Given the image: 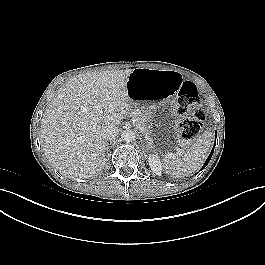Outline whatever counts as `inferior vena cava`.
I'll return each instance as SVG.
<instances>
[{
    "label": "inferior vena cava",
    "mask_w": 265,
    "mask_h": 265,
    "mask_svg": "<svg viewBox=\"0 0 265 265\" xmlns=\"http://www.w3.org/2000/svg\"><path fill=\"white\" fill-rule=\"evenodd\" d=\"M119 133V129L116 126H106L101 130V137L105 140L115 138Z\"/></svg>",
    "instance_id": "602c4592"
}]
</instances>
